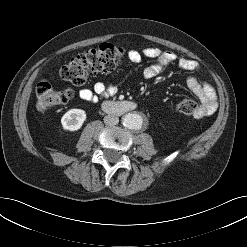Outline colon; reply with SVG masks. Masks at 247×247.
<instances>
[{
	"instance_id": "1",
	"label": "colon",
	"mask_w": 247,
	"mask_h": 247,
	"mask_svg": "<svg viewBox=\"0 0 247 247\" xmlns=\"http://www.w3.org/2000/svg\"><path fill=\"white\" fill-rule=\"evenodd\" d=\"M124 57V50L102 44L71 59L60 70V76L76 86L83 85L91 74L108 73L115 70ZM37 106L41 110L51 109L67 103L72 98L70 90H57L48 80L36 87ZM174 110L184 115H194L197 105L192 99H183L174 105Z\"/></svg>"
}]
</instances>
